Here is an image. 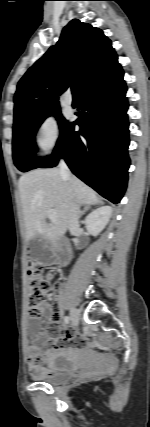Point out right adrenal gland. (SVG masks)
I'll return each mask as SVG.
<instances>
[{"label":"right adrenal gland","instance_id":"1","mask_svg":"<svg viewBox=\"0 0 150 427\" xmlns=\"http://www.w3.org/2000/svg\"><path fill=\"white\" fill-rule=\"evenodd\" d=\"M98 204H103V203L101 201H98ZM90 208L91 206H86L80 216L84 215Z\"/></svg>","mask_w":150,"mask_h":427}]
</instances>
